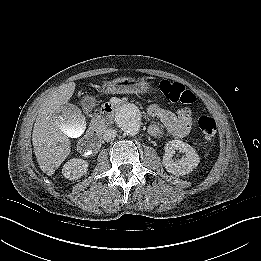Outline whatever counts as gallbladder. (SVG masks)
Listing matches in <instances>:
<instances>
[{"instance_id":"bac80fb5","label":"gallbladder","mask_w":261,"mask_h":261,"mask_svg":"<svg viewBox=\"0 0 261 261\" xmlns=\"http://www.w3.org/2000/svg\"><path fill=\"white\" fill-rule=\"evenodd\" d=\"M60 131L69 138L79 137L86 128V119L80 109L71 103L63 104L57 114Z\"/></svg>"}]
</instances>
